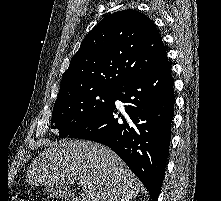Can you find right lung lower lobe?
<instances>
[{
    "label": "right lung lower lobe",
    "mask_w": 221,
    "mask_h": 201,
    "mask_svg": "<svg viewBox=\"0 0 221 201\" xmlns=\"http://www.w3.org/2000/svg\"><path fill=\"white\" fill-rule=\"evenodd\" d=\"M173 85L167 59L150 73L117 87L104 111L68 135L110 147L147 188L150 201H157L169 153ZM116 100L123 103L122 113Z\"/></svg>",
    "instance_id": "right-lung-lower-lobe-1"
}]
</instances>
